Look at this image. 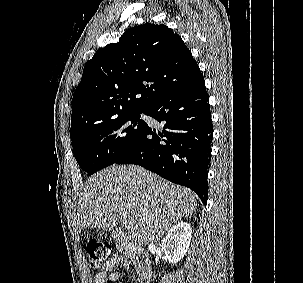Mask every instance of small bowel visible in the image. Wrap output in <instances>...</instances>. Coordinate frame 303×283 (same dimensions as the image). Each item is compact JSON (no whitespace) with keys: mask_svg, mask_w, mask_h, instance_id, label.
Instances as JSON below:
<instances>
[{"mask_svg":"<svg viewBox=\"0 0 303 283\" xmlns=\"http://www.w3.org/2000/svg\"><path fill=\"white\" fill-rule=\"evenodd\" d=\"M124 264L129 267V264L119 255L112 256L105 264L103 269L94 277V283H106L108 280L115 281L118 276L112 272L117 264Z\"/></svg>","mask_w":303,"mask_h":283,"instance_id":"obj_1","label":"small bowel"}]
</instances>
